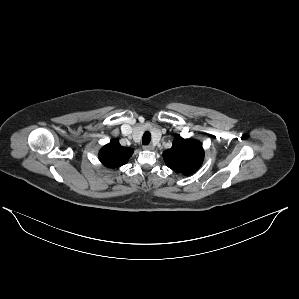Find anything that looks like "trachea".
Instances as JSON below:
<instances>
[{"label": "trachea", "mask_w": 299, "mask_h": 299, "mask_svg": "<svg viewBox=\"0 0 299 299\" xmlns=\"http://www.w3.org/2000/svg\"><path fill=\"white\" fill-rule=\"evenodd\" d=\"M150 141H151V134L149 131H146L142 138V144L148 145L150 143Z\"/></svg>", "instance_id": "obj_1"}]
</instances>
